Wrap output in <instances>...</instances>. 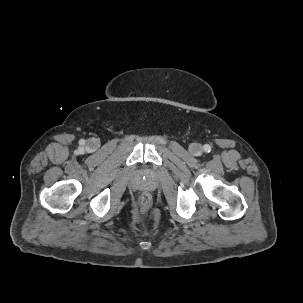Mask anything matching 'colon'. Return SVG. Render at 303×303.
<instances>
[{
	"instance_id": "colon-1",
	"label": "colon",
	"mask_w": 303,
	"mask_h": 303,
	"mask_svg": "<svg viewBox=\"0 0 303 303\" xmlns=\"http://www.w3.org/2000/svg\"><path fill=\"white\" fill-rule=\"evenodd\" d=\"M141 208L144 211H148L152 205V198L149 194L145 193L141 196L140 200Z\"/></svg>"
}]
</instances>
